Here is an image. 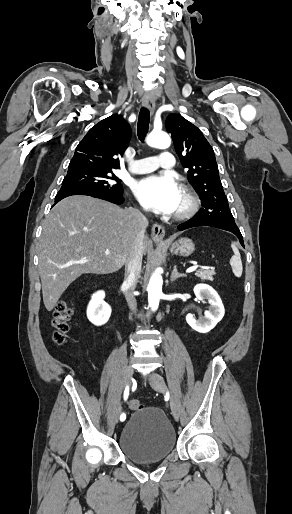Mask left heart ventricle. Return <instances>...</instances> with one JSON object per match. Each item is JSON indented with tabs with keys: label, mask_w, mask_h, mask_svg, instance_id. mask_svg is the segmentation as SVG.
Listing matches in <instances>:
<instances>
[{
	"label": "left heart ventricle",
	"mask_w": 292,
	"mask_h": 514,
	"mask_svg": "<svg viewBox=\"0 0 292 514\" xmlns=\"http://www.w3.org/2000/svg\"><path fill=\"white\" fill-rule=\"evenodd\" d=\"M182 205H183V199L181 196L177 209H180L182 207Z\"/></svg>",
	"instance_id": "obj_1"
}]
</instances>
